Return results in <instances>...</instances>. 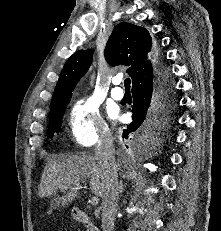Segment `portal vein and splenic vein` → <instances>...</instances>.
<instances>
[{
    "label": "portal vein and splenic vein",
    "mask_w": 221,
    "mask_h": 231,
    "mask_svg": "<svg viewBox=\"0 0 221 231\" xmlns=\"http://www.w3.org/2000/svg\"><path fill=\"white\" fill-rule=\"evenodd\" d=\"M81 188H82V187L80 186L79 189H81ZM62 189H63V188H62ZM98 202H99V198H98L97 196H93V197L91 198V204H92V205H97Z\"/></svg>",
    "instance_id": "18ae733b"
}]
</instances>
